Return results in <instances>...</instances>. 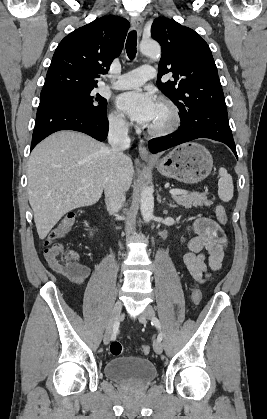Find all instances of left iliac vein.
<instances>
[{
	"label": "left iliac vein",
	"mask_w": 267,
	"mask_h": 419,
	"mask_svg": "<svg viewBox=\"0 0 267 419\" xmlns=\"http://www.w3.org/2000/svg\"><path fill=\"white\" fill-rule=\"evenodd\" d=\"M155 317V312L151 306H147L144 310L143 314L139 317V321L141 323H145L146 319H152ZM153 349L157 354H161L163 350V346L161 341L155 340L153 343Z\"/></svg>",
	"instance_id": "obj_1"
}]
</instances>
